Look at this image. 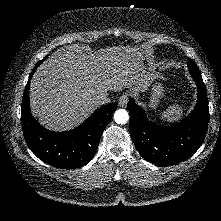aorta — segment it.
<instances>
[{"label": "aorta", "instance_id": "aorta-1", "mask_svg": "<svg viewBox=\"0 0 221 221\" xmlns=\"http://www.w3.org/2000/svg\"><path fill=\"white\" fill-rule=\"evenodd\" d=\"M114 120L118 124H125L129 120V114L125 109H118L114 113Z\"/></svg>", "mask_w": 221, "mask_h": 221}]
</instances>
